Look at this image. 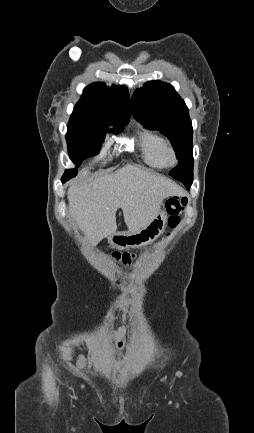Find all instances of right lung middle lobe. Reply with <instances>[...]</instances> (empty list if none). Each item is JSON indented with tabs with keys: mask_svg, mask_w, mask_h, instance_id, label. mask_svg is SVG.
I'll return each instance as SVG.
<instances>
[{
	"mask_svg": "<svg viewBox=\"0 0 254 433\" xmlns=\"http://www.w3.org/2000/svg\"><path fill=\"white\" fill-rule=\"evenodd\" d=\"M127 123L128 120L112 122L110 117L101 111L74 109L66 134L70 159L79 166L85 158L97 155L108 126L113 124L114 128L111 130L118 134Z\"/></svg>",
	"mask_w": 254,
	"mask_h": 433,
	"instance_id": "dd1d6c3e",
	"label": "right lung middle lobe"
}]
</instances>
